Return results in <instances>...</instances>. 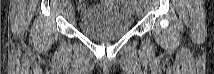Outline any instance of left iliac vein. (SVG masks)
<instances>
[{
	"label": "left iliac vein",
	"instance_id": "left-iliac-vein-1",
	"mask_svg": "<svg viewBox=\"0 0 214 74\" xmlns=\"http://www.w3.org/2000/svg\"><path fill=\"white\" fill-rule=\"evenodd\" d=\"M135 12L138 16H142L143 15V9L141 6L136 7Z\"/></svg>",
	"mask_w": 214,
	"mask_h": 74
}]
</instances>
